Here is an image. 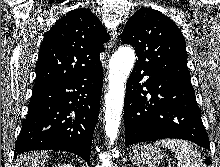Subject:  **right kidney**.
<instances>
[{"label":"right kidney","mask_w":220,"mask_h":167,"mask_svg":"<svg viewBox=\"0 0 220 167\" xmlns=\"http://www.w3.org/2000/svg\"><path fill=\"white\" fill-rule=\"evenodd\" d=\"M58 167H73L71 164H62V165H59Z\"/></svg>","instance_id":"right-kidney-1"}]
</instances>
